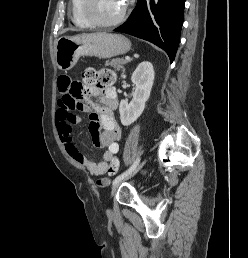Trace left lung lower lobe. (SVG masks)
Returning <instances> with one entry per match:
<instances>
[{"instance_id": "obj_1", "label": "left lung lower lobe", "mask_w": 248, "mask_h": 258, "mask_svg": "<svg viewBox=\"0 0 248 258\" xmlns=\"http://www.w3.org/2000/svg\"><path fill=\"white\" fill-rule=\"evenodd\" d=\"M185 0H138L129 19L114 31L147 40L173 62L180 40Z\"/></svg>"}]
</instances>
